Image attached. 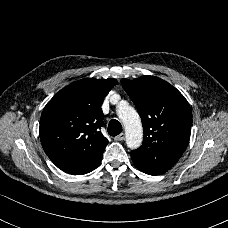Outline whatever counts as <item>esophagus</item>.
<instances>
[{
	"instance_id": "1",
	"label": "esophagus",
	"mask_w": 228,
	"mask_h": 228,
	"mask_svg": "<svg viewBox=\"0 0 228 228\" xmlns=\"http://www.w3.org/2000/svg\"><path fill=\"white\" fill-rule=\"evenodd\" d=\"M125 138V134L124 133H120L119 135H117L114 139L116 141H123Z\"/></svg>"
}]
</instances>
